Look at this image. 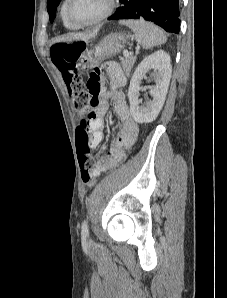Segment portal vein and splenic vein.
<instances>
[{
  "instance_id": "portal-vein-and-splenic-vein-1",
  "label": "portal vein and splenic vein",
  "mask_w": 227,
  "mask_h": 298,
  "mask_svg": "<svg viewBox=\"0 0 227 298\" xmlns=\"http://www.w3.org/2000/svg\"><path fill=\"white\" fill-rule=\"evenodd\" d=\"M139 48V47H138ZM131 54V52H129L128 50H124L123 51V55H124V57H129V55Z\"/></svg>"
}]
</instances>
